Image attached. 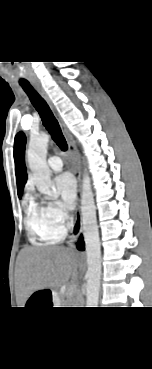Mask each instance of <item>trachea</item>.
I'll list each match as a JSON object with an SVG mask.
<instances>
[{"instance_id": "trachea-1", "label": "trachea", "mask_w": 152, "mask_h": 369, "mask_svg": "<svg viewBox=\"0 0 152 369\" xmlns=\"http://www.w3.org/2000/svg\"><path fill=\"white\" fill-rule=\"evenodd\" d=\"M20 85L29 96L30 101L35 109L38 111L43 125L50 133L54 142L62 151H66L68 149L67 142L62 134L58 121L54 117L46 101L33 89L29 83H21Z\"/></svg>"}]
</instances>
